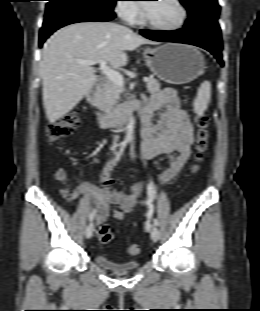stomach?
Segmentation results:
<instances>
[{"label":"stomach","mask_w":260,"mask_h":311,"mask_svg":"<svg viewBox=\"0 0 260 311\" xmlns=\"http://www.w3.org/2000/svg\"><path fill=\"white\" fill-rule=\"evenodd\" d=\"M147 66L161 80L170 84H186L205 69L204 57L190 45L166 43L144 51Z\"/></svg>","instance_id":"stomach-1"}]
</instances>
